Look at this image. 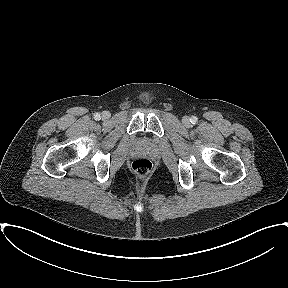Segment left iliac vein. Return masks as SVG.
<instances>
[{
  "label": "left iliac vein",
  "mask_w": 288,
  "mask_h": 288,
  "mask_svg": "<svg viewBox=\"0 0 288 288\" xmlns=\"http://www.w3.org/2000/svg\"><path fill=\"white\" fill-rule=\"evenodd\" d=\"M182 121L186 126L189 125V123H190V119L187 116L183 117Z\"/></svg>",
  "instance_id": "1"
}]
</instances>
